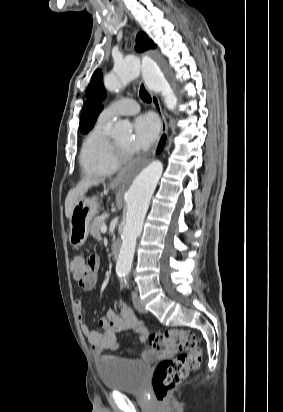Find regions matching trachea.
Returning <instances> with one entry per match:
<instances>
[{
    "instance_id": "obj_1",
    "label": "trachea",
    "mask_w": 283,
    "mask_h": 412,
    "mask_svg": "<svg viewBox=\"0 0 283 412\" xmlns=\"http://www.w3.org/2000/svg\"><path fill=\"white\" fill-rule=\"evenodd\" d=\"M140 98L144 101V102H147V103H150L151 102V96H150V94L146 91V89H145V87H144V85L143 84H141V87H140Z\"/></svg>"
}]
</instances>
